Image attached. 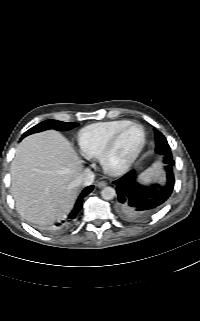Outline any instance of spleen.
Listing matches in <instances>:
<instances>
[{"label": "spleen", "instance_id": "spleen-1", "mask_svg": "<svg viewBox=\"0 0 200 321\" xmlns=\"http://www.w3.org/2000/svg\"><path fill=\"white\" fill-rule=\"evenodd\" d=\"M162 178V163L156 161L153 165L147 168L139 176V181L144 184H149L154 180H159Z\"/></svg>", "mask_w": 200, "mask_h": 321}]
</instances>
